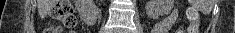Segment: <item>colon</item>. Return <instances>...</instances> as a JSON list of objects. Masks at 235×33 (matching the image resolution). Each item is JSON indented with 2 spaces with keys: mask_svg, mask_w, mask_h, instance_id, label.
<instances>
[{
  "mask_svg": "<svg viewBox=\"0 0 235 33\" xmlns=\"http://www.w3.org/2000/svg\"><path fill=\"white\" fill-rule=\"evenodd\" d=\"M51 16L55 21L68 29L73 28L76 24L73 7L69 0L58 1L51 12ZM187 16L191 21L189 33H197L198 12L194 8H189L187 10ZM57 31H59V27H51L46 31V33H55Z\"/></svg>",
  "mask_w": 235,
  "mask_h": 33,
  "instance_id": "5ec220e1",
  "label": "colon"
}]
</instances>
